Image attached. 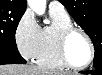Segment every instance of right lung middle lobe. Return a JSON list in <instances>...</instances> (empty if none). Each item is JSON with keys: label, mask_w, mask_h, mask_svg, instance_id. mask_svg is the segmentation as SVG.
Returning a JSON list of instances; mask_svg holds the SVG:
<instances>
[{"label": "right lung middle lobe", "mask_w": 102, "mask_h": 75, "mask_svg": "<svg viewBox=\"0 0 102 75\" xmlns=\"http://www.w3.org/2000/svg\"><path fill=\"white\" fill-rule=\"evenodd\" d=\"M25 10L0 8V52L3 50L18 51L15 32Z\"/></svg>", "instance_id": "obj_1"}]
</instances>
